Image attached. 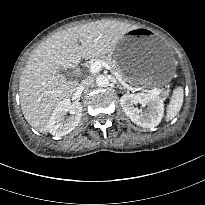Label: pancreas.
<instances>
[{"instance_id": "1", "label": "pancreas", "mask_w": 205, "mask_h": 205, "mask_svg": "<svg viewBox=\"0 0 205 205\" xmlns=\"http://www.w3.org/2000/svg\"><path fill=\"white\" fill-rule=\"evenodd\" d=\"M93 60L106 62L109 65L111 71L117 73L119 78H121L122 80L126 79L123 76V74L121 73V71L117 65V62L114 59H112L111 57L105 56V55H99V56L94 57Z\"/></svg>"}]
</instances>
